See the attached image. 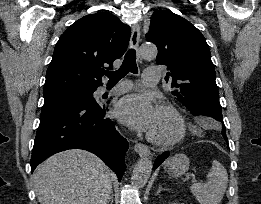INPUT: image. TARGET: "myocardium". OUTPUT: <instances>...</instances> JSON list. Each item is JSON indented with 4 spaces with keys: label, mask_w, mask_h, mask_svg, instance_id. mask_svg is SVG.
Here are the masks:
<instances>
[{
    "label": "myocardium",
    "mask_w": 261,
    "mask_h": 204,
    "mask_svg": "<svg viewBox=\"0 0 261 204\" xmlns=\"http://www.w3.org/2000/svg\"><path fill=\"white\" fill-rule=\"evenodd\" d=\"M157 109L169 113L174 118L176 122V131L172 136L167 138H159L148 132L147 139L158 146H170L178 143L186 133V122L183 115L175 106L168 103L158 105Z\"/></svg>",
    "instance_id": "f54148a6"
}]
</instances>
